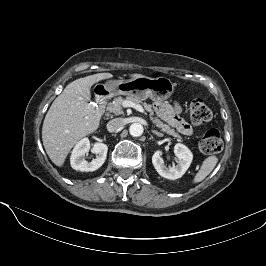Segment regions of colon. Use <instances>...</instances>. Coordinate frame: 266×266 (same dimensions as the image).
Returning a JSON list of instances; mask_svg holds the SVG:
<instances>
[{
	"label": "colon",
	"instance_id": "obj_1",
	"mask_svg": "<svg viewBox=\"0 0 266 266\" xmlns=\"http://www.w3.org/2000/svg\"><path fill=\"white\" fill-rule=\"evenodd\" d=\"M189 115L195 125L205 124L212 118L210 108L201 99H195L191 102ZM222 146L223 142L217 129L208 130L199 143L200 150L205 154L218 153L221 151Z\"/></svg>",
	"mask_w": 266,
	"mask_h": 266
}]
</instances>
